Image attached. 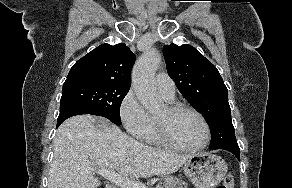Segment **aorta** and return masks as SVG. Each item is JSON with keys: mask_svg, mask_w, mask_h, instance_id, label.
Masks as SVG:
<instances>
[{"mask_svg": "<svg viewBox=\"0 0 292 188\" xmlns=\"http://www.w3.org/2000/svg\"><path fill=\"white\" fill-rule=\"evenodd\" d=\"M160 63V53L152 48L142 54L132 73L134 91L142 105L150 113L158 112L163 107V101L154 84V75Z\"/></svg>", "mask_w": 292, "mask_h": 188, "instance_id": "obj_1", "label": "aorta"}]
</instances>
